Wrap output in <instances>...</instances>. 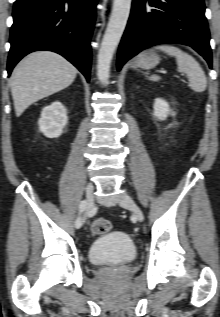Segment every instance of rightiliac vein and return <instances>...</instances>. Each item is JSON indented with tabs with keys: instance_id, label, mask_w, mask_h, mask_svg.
Returning <instances> with one entry per match:
<instances>
[{
	"instance_id": "63e3f726",
	"label": "right iliac vein",
	"mask_w": 220,
	"mask_h": 317,
	"mask_svg": "<svg viewBox=\"0 0 220 317\" xmlns=\"http://www.w3.org/2000/svg\"><path fill=\"white\" fill-rule=\"evenodd\" d=\"M93 191H94L93 184L91 182H89L86 186V207H85V210L87 213L91 210L92 205H93ZM84 220H85V218H84ZM83 221L81 220V223Z\"/></svg>"
}]
</instances>
